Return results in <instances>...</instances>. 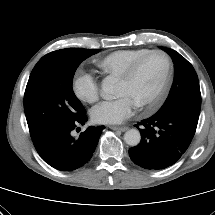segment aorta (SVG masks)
<instances>
[{
    "instance_id": "762f6f07",
    "label": "aorta",
    "mask_w": 215,
    "mask_h": 215,
    "mask_svg": "<svg viewBox=\"0 0 215 215\" xmlns=\"http://www.w3.org/2000/svg\"><path fill=\"white\" fill-rule=\"evenodd\" d=\"M117 81L112 77H106L102 81L101 85V96L106 100L115 98L117 94ZM141 135L137 129H130L124 134V141L129 146H137L140 143Z\"/></svg>"
}]
</instances>
